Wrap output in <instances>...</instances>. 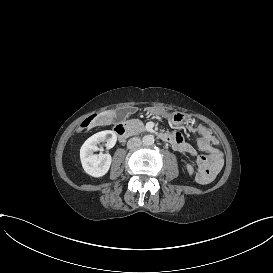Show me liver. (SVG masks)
Returning <instances> with one entry per match:
<instances>
[{
  "instance_id": "obj_1",
  "label": "liver",
  "mask_w": 273,
  "mask_h": 273,
  "mask_svg": "<svg viewBox=\"0 0 273 273\" xmlns=\"http://www.w3.org/2000/svg\"><path fill=\"white\" fill-rule=\"evenodd\" d=\"M114 110H105L97 114L96 118L92 121V123L86 127L85 134L89 132L92 128L95 127H103L109 126L114 122Z\"/></svg>"
}]
</instances>
